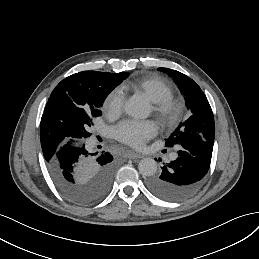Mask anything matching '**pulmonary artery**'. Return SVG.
Masks as SVG:
<instances>
[{
  "mask_svg": "<svg viewBox=\"0 0 259 259\" xmlns=\"http://www.w3.org/2000/svg\"><path fill=\"white\" fill-rule=\"evenodd\" d=\"M176 157H177V154H172V155L169 156L168 160L169 161L175 160Z\"/></svg>",
  "mask_w": 259,
  "mask_h": 259,
  "instance_id": "obj_1",
  "label": "pulmonary artery"
}]
</instances>
